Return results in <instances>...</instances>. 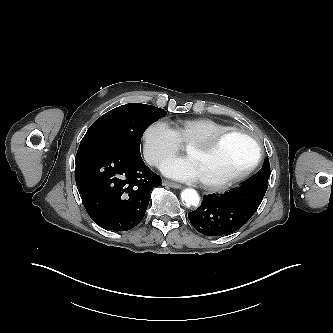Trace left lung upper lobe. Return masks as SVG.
<instances>
[{
    "mask_svg": "<svg viewBox=\"0 0 333 333\" xmlns=\"http://www.w3.org/2000/svg\"><path fill=\"white\" fill-rule=\"evenodd\" d=\"M270 177V163L268 157L265 158L262 168L249 180H247L243 185L263 183L267 184Z\"/></svg>",
    "mask_w": 333,
    "mask_h": 333,
    "instance_id": "obj_1",
    "label": "left lung upper lobe"
}]
</instances>
